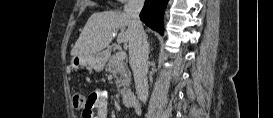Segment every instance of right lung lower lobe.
Here are the masks:
<instances>
[{
    "instance_id": "1",
    "label": "right lung lower lobe",
    "mask_w": 273,
    "mask_h": 118,
    "mask_svg": "<svg viewBox=\"0 0 273 118\" xmlns=\"http://www.w3.org/2000/svg\"><path fill=\"white\" fill-rule=\"evenodd\" d=\"M168 0H146L140 19L150 28L163 35V14Z\"/></svg>"
}]
</instances>
